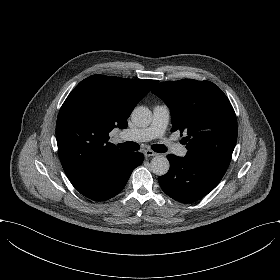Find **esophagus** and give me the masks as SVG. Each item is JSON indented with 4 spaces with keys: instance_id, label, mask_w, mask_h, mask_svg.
Wrapping results in <instances>:
<instances>
[{
    "instance_id": "34e87169",
    "label": "esophagus",
    "mask_w": 280,
    "mask_h": 280,
    "mask_svg": "<svg viewBox=\"0 0 280 280\" xmlns=\"http://www.w3.org/2000/svg\"><path fill=\"white\" fill-rule=\"evenodd\" d=\"M143 153H144V156H145L146 158L152 157V156H156V155H157V153L154 152V151H152V150H145Z\"/></svg>"
}]
</instances>
